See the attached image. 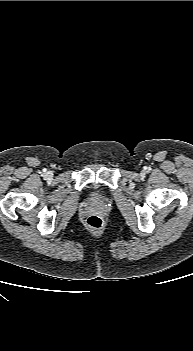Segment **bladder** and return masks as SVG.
<instances>
[{
  "mask_svg": "<svg viewBox=\"0 0 193 351\" xmlns=\"http://www.w3.org/2000/svg\"><path fill=\"white\" fill-rule=\"evenodd\" d=\"M100 196H101V191L98 188L94 187L91 189L90 198L96 199Z\"/></svg>",
  "mask_w": 193,
  "mask_h": 351,
  "instance_id": "1",
  "label": "bladder"
}]
</instances>
